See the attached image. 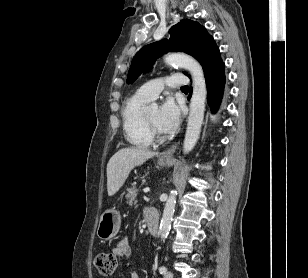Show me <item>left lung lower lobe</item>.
I'll return each mask as SVG.
<instances>
[{"mask_svg":"<svg viewBox=\"0 0 308 278\" xmlns=\"http://www.w3.org/2000/svg\"><path fill=\"white\" fill-rule=\"evenodd\" d=\"M205 80L207 86V99L211 107L212 112H216L218 109L225 85V71L224 63H220L217 67L211 71L205 73ZM191 95V94H190Z\"/></svg>","mask_w":308,"mask_h":278,"instance_id":"1","label":"left lung lower lobe"}]
</instances>
